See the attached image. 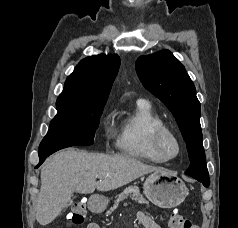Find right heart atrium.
<instances>
[{
	"label": "right heart atrium",
	"mask_w": 238,
	"mask_h": 228,
	"mask_svg": "<svg viewBox=\"0 0 238 228\" xmlns=\"http://www.w3.org/2000/svg\"><path fill=\"white\" fill-rule=\"evenodd\" d=\"M112 114H110L104 124L105 135L107 139H111L115 136V129L111 123Z\"/></svg>",
	"instance_id": "d8ad5b80"
}]
</instances>
